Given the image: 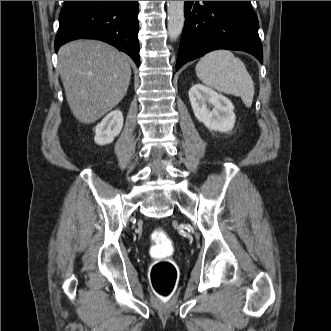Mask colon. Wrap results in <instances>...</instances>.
<instances>
[{"label":"colon","mask_w":331,"mask_h":331,"mask_svg":"<svg viewBox=\"0 0 331 331\" xmlns=\"http://www.w3.org/2000/svg\"><path fill=\"white\" fill-rule=\"evenodd\" d=\"M151 241L153 262L149 268V280L157 300L165 304L176 292L179 269L171 258L173 245L167 232L163 229L154 230Z\"/></svg>","instance_id":"5ec220e1"}]
</instances>
